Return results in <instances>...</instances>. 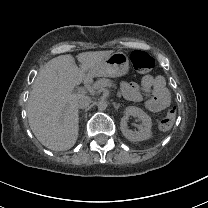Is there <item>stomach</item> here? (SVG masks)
<instances>
[{
  "label": "stomach",
  "mask_w": 208,
  "mask_h": 208,
  "mask_svg": "<svg viewBox=\"0 0 208 208\" xmlns=\"http://www.w3.org/2000/svg\"><path fill=\"white\" fill-rule=\"evenodd\" d=\"M129 71V60L125 53L115 52L95 64L89 75L94 77H120Z\"/></svg>",
  "instance_id": "stomach-1"
}]
</instances>
